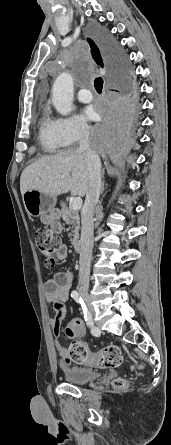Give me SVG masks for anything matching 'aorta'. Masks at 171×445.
Segmentation results:
<instances>
[{
	"instance_id": "762f6f07",
	"label": "aorta",
	"mask_w": 171,
	"mask_h": 445,
	"mask_svg": "<svg viewBox=\"0 0 171 445\" xmlns=\"http://www.w3.org/2000/svg\"><path fill=\"white\" fill-rule=\"evenodd\" d=\"M52 102L57 112L63 116L70 114L73 103V78L64 72L60 74L52 88Z\"/></svg>"
}]
</instances>
